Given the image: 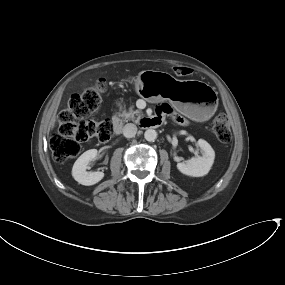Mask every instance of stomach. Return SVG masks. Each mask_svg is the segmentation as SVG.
Wrapping results in <instances>:
<instances>
[{"instance_id":"obj_1","label":"stomach","mask_w":285,"mask_h":285,"mask_svg":"<svg viewBox=\"0 0 285 285\" xmlns=\"http://www.w3.org/2000/svg\"><path fill=\"white\" fill-rule=\"evenodd\" d=\"M135 90L148 102L168 100L173 107L195 121L208 120L217 109V95L198 80H178L162 71L144 70L134 80Z\"/></svg>"}]
</instances>
